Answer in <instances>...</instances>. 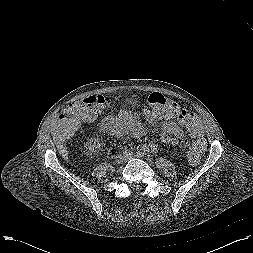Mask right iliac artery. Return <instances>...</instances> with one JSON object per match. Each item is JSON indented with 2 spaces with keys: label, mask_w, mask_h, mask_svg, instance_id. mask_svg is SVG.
<instances>
[{
  "label": "right iliac artery",
  "mask_w": 253,
  "mask_h": 253,
  "mask_svg": "<svg viewBox=\"0 0 253 253\" xmlns=\"http://www.w3.org/2000/svg\"><path fill=\"white\" fill-rule=\"evenodd\" d=\"M130 154H131V152H130V150H128V149H126V150L123 151V155H124L125 157L129 156Z\"/></svg>",
  "instance_id": "1"
}]
</instances>
